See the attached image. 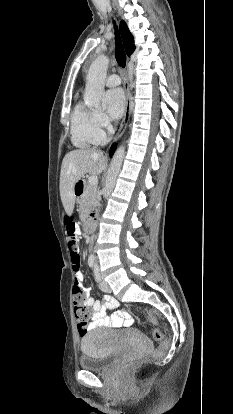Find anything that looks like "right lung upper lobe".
I'll use <instances>...</instances> for the list:
<instances>
[{
    "instance_id": "1",
    "label": "right lung upper lobe",
    "mask_w": 233,
    "mask_h": 414,
    "mask_svg": "<svg viewBox=\"0 0 233 414\" xmlns=\"http://www.w3.org/2000/svg\"><path fill=\"white\" fill-rule=\"evenodd\" d=\"M120 32L122 35V39H123V43H124V47L126 50L127 55H131L134 50H135V46H134V40H133V36L130 33L126 23L124 21H121L120 23Z\"/></svg>"
}]
</instances>
